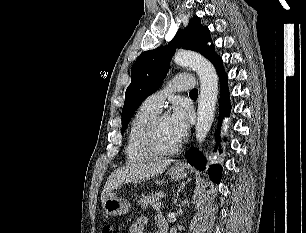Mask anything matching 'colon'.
Segmentation results:
<instances>
[{
    "label": "colon",
    "instance_id": "colon-1",
    "mask_svg": "<svg viewBox=\"0 0 306 233\" xmlns=\"http://www.w3.org/2000/svg\"><path fill=\"white\" fill-rule=\"evenodd\" d=\"M100 233H118V231L113 224L103 223L100 228Z\"/></svg>",
    "mask_w": 306,
    "mask_h": 233
}]
</instances>
